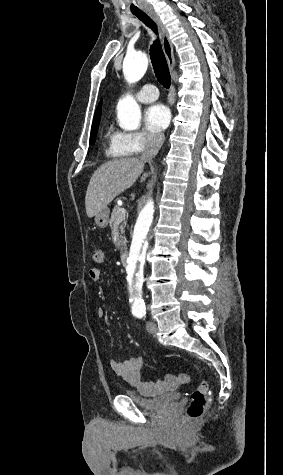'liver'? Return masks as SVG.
Returning <instances> with one entry per match:
<instances>
[{
  "instance_id": "obj_1",
  "label": "liver",
  "mask_w": 283,
  "mask_h": 475,
  "mask_svg": "<svg viewBox=\"0 0 283 475\" xmlns=\"http://www.w3.org/2000/svg\"><path fill=\"white\" fill-rule=\"evenodd\" d=\"M144 160L138 158H118L102 164L94 172L85 196V208L88 218L97 216L103 208L125 192L143 174ZM148 174H143L141 182H145Z\"/></svg>"
}]
</instances>
